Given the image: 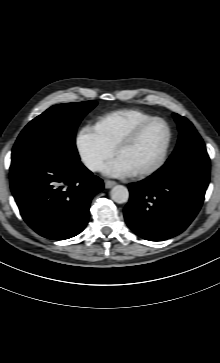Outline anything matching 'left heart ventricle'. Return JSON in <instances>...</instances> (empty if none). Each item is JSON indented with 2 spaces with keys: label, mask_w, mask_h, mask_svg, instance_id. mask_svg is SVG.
Segmentation results:
<instances>
[{
  "label": "left heart ventricle",
  "mask_w": 220,
  "mask_h": 363,
  "mask_svg": "<svg viewBox=\"0 0 220 363\" xmlns=\"http://www.w3.org/2000/svg\"><path fill=\"white\" fill-rule=\"evenodd\" d=\"M167 140V130L162 123L148 126L117 157L123 159L134 172L152 166L160 157Z\"/></svg>",
  "instance_id": "left-heart-ventricle-1"
}]
</instances>
